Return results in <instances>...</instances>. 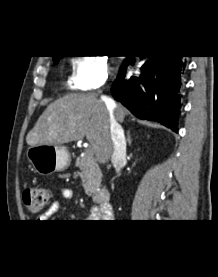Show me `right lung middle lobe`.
Masks as SVG:
<instances>
[{
  "label": "right lung middle lobe",
  "mask_w": 218,
  "mask_h": 277,
  "mask_svg": "<svg viewBox=\"0 0 218 277\" xmlns=\"http://www.w3.org/2000/svg\"><path fill=\"white\" fill-rule=\"evenodd\" d=\"M62 57V56H61ZM61 57H59V58H57V59H53L54 60V63H58V61H59V59L61 58Z\"/></svg>",
  "instance_id": "dd1d6c3e"
}]
</instances>
